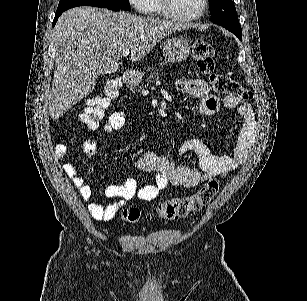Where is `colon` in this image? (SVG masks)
Returning a JSON list of instances; mask_svg holds the SVG:
<instances>
[{"label":"colon","instance_id":"obj_1","mask_svg":"<svg viewBox=\"0 0 307 301\" xmlns=\"http://www.w3.org/2000/svg\"><path fill=\"white\" fill-rule=\"evenodd\" d=\"M193 56L199 71L208 77L214 91L238 97L243 101L252 98L251 91L238 81L228 75L215 72V51L211 44L204 40H196L193 43ZM120 88L121 82L119 80H111L105 84L102 95L89 100L80 116L81 121L89 129L94 130L98 127L99 122L105 116L106 108L111 100L118 96ZM218 190V182L211 179L192 195L175 197L161 202L155 212L158 217L165 220L184 218L207 206L216 196ZM122 217L127 222L136 223L142 216L139 209L130 207L123 210Z\"/></svg>","mask_w":307,"mask_h":301}]
</instances>
